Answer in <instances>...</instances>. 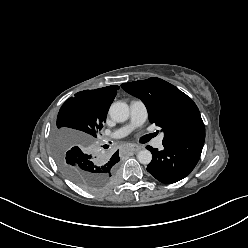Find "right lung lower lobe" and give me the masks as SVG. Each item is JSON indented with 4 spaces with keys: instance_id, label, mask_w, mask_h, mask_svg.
I'll return each mask as SVG.
<instances>
[{
    "instance_id": "1",
    "label": "right lung lower lobe",
    "mask_w": 248,
    "mask_h": 248,
    "mask_svg": "<svg viewBox=\"0 0 248 248\" xmlns=\"http://www.w3.org/2000/svg\"><path fill=\"white\" fill-rule=\"evenodd\" d=\"M116 153L118 154V152H116ZM112 157H113V156H112ZM117 159H118V160H120V158H119V157H117Z\"/></svg>"
}]
</instances>
